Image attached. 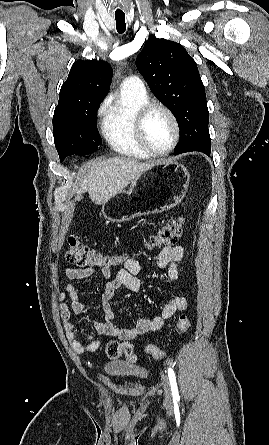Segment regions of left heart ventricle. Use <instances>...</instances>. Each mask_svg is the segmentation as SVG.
<instances>
[{
    "instance_id": "left-heart-ventricle-1",
    "label": "left heart ventricle",
    "mask_w": 269,
    "mask_h": 445,
    "mask_svg": "<svg viewBox=\"0 0 269 445\" xmlns=\"http://www.w3.org/2000/svg\"><path fill=\"white\" fill-rule=\"evenodd\" d=\"M148 144L156 151H165L174 138V127L169 116L155 109L147 117L144 127Z\"/></svg>"
}]
</instances>
